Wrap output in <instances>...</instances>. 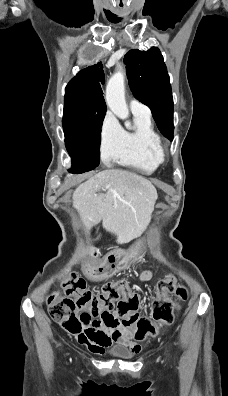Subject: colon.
I'll list each match as a JSON object with an SVG mask.
<instances>
[{
  "label": "colon",
  "mask_w": 228,
  "mask_h": 396,
  "mask_svg": "<svg viewBox=\"0 0 228 396\" xmlns=\"http://www.w3.org/2000/svg\"><path fill=\"white\" fill-rule=\"evenodd\" d=\"M60 280L69 297L52 294L48 298L49 314L75 335L80 334L86 326H92L128 328L138 340L155 336L161 326L173 322L177 302L169 295L176 293L179 300L188 297L186 289L177 288L174 277L167 275L157 284V296L152 304L150 319L138 316L139 296L126 280L104 284L99 294L89 291L85 281L74 271H63Z\"/></svg>",
  "instance_id": "5ec220e1"
}]
</instances>
